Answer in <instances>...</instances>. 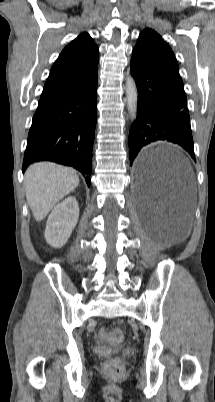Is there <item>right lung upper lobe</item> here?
<instances>
[{"label": "right lung upper lobe", "mask_w": 215, "mask_h": 402, "mask_svg": "<svg viewBox=\"0 0 215 402\" xmlns=\"http://www.w3.org/2000/svg\"><path fill=\"white\" fill-rule=\"evenodd\" d=\"M98 47L87 33L67 45L51 68L39 105L72 91L97 76Z\"/></svg>", "instance_id": "obj_1"}]
</instances>
